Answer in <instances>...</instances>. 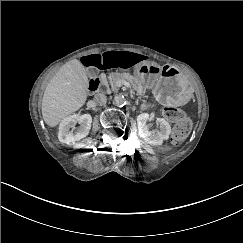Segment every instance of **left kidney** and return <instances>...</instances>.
Returning a JSON list of instances; mask_svg holds the SVG:
<instances>
[{"label": "left kidney", "mask_w": 243, "mask_h": 243, "mask_svg": "<svg viewBox=\"0 0 243 243\" xmlns=\"http://www.w3.org/2000/svg\"><path fill=\"white\" fill-rule=\"evenodd\" d=\"M149 115L146 113L140 114L137 118V130L138 134L144 141L151 145H162L164 141L169 139L171 133V126L164 118H158L157 121L160 124V131L156 134H152L147 128L146 123L149 121Z\"/></svg>", "instance_id": "obj_1"}]
</instances>
